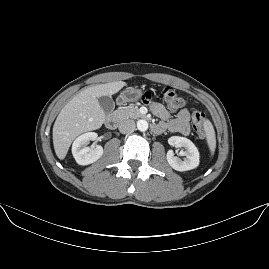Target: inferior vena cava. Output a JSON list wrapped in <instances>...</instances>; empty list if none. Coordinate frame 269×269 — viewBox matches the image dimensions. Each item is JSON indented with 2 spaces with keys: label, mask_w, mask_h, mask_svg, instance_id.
<instances>
[{
  "label": "inferior vena cava",
  "mask_w": 269,
  "mask_h": 269,
  "mask_svg": "<svg viewBox=\"0 0 269 269\" xmlns=\"http://www.w3.org/2000/svg\"><path fill=\"white\" fill-rule=\"evenodd\" d=\"M118 129L123 134L132 132L135 129V122L130 119H125L119 123Z\"/></svg>",
  "instance_id": "obj_1"
}]
</instances>
